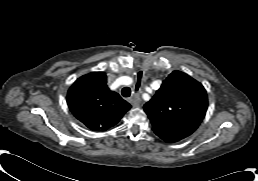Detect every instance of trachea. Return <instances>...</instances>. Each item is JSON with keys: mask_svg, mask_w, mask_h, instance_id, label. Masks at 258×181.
<instances>
[{"mask_svg": "<svg viewBox=\"0 0 258 181\" xmlns=\"http://www.w3.org/2000/svg\"><path fill=\"white\" fill-rule=\"evenodd\" d=\"M122 95L124 97H129L131 95V89L129 87H124L122 89Z\"/></svg>", "mask_w": 258, "mask_h": 181, "instance_id": "1", "label": "trachea"}]
</instances>
